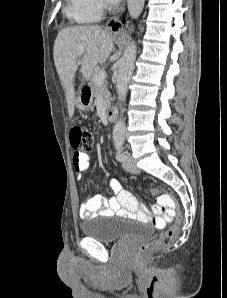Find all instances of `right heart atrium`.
I'll return each instance as SVG.
<instances>
[{"label": "right heart atrium", "mask_w": 227, "mask_h": 298, "mask_svg": "<svg viewBox=\"0 0 227 298\" xmlns=\"http://www.w3.org/2000/svg\"><path fill=\"white\" fill-rule=\"evenodd\" d=\"M91 8L96 11L100 12L103 8V1L102 0H87Z\"/></svg>", "instance_id": "obj_1"}]
</instances>
